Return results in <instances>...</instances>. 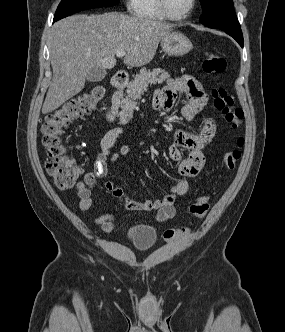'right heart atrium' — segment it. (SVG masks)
<instances>
[{
  "mask_svg": "<svg viewBox=\"0 0 285 332\" xmlns=\"http://www.w3.org/2000/svg\"><path fill=\"white\" fill-rule=\"evenodd\" d=\"M133 0H125L127 8L131 9Z\"/></svg>",
  "mask_w": 285,
  "mask_h": 332,
  "instance_id": "obj_1",
  "label": "right heart atrium"
}]
</instances>
